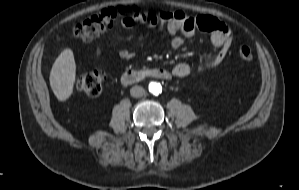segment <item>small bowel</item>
Returning <instances> with one entry per match:
<instances>
[{"label":"small bowel","mask_w":299,"mask_h":190,"mask_svg":"<svg viewBox=\"0 0 299 190\" xmlns=\"http://www.w3.org/2000/svg\"><path fill=\"white\" fill-rule=\"evenodd\" d=\"M205 25L201 27L198 23L199 17L187 15L185 12L178 10L174 12H164L160 15L154 12L134 14L124 17L121 23L128 28H133L137 23H141L148 27L165 26L167 31L172 35L171 46L179 48L184 43V37L191 36L197 28L211 32L212 45L218 49L217 53L207 59L199 62L195 68L198 71H205L211 67L218 65L224 58L229 46V29L212 15H204ZM97 55L101 54L99 46L95 50ZM120 57L128 59L132 57V53L128 50H121ZM192 67L188 63H180L174 67L173 73L176 77L184 78L191 73Z\"/></svg>","instance_id":"obj_1"}]
</instances>
